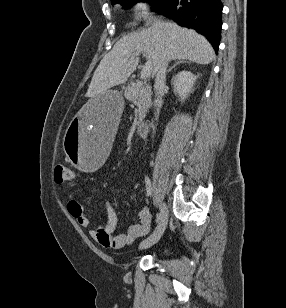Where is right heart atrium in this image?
I'll return each instance as SVG.
<instances>
[{
	"mask_svg": "<svg viewBox=\"0 0 286 308\" xmlns=\"http://www.w3.org/2000/svg\"><path fill=\"white\" fill-rule=\"evenodd\" d=\"M149 0H134L131 4V13L136 21H141L149 15Z\"/></svg>",
	"mask_w": 286,
	"mask_h": 308,
	"instance_id": "right-heart-atrium-1",
	"label": "right heart atrium"
}]
</instances>
